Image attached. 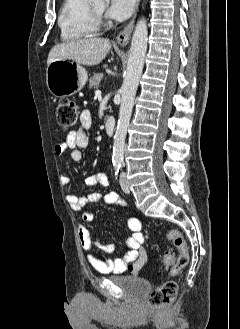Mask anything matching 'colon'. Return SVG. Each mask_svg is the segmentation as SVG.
<instances>
[{
	"label": "colon",
	"instance_id": "colon-1",
	"mask_svg": "<svg viewBox=\"0 0 240 329\" xmlns=\"http://www.w3.org/2000/svg\"><path fill=\"white\" fill-rule=\"evenodd\" d=\"M56 117L63 130L73 128L79 120V106L69 100L59 101L56 107ZM173 242L176 251L169 250L164 256V264L170 267V275H177L189 262V249L183 235L175 229L167 234ZM178 286L174 280H167L158 285L149 295V304L152 307L163 308L171 305L177 296Z\"/></svg>",
	"mask_w": 240,
	"mask_h": 329
}]
</instances>
